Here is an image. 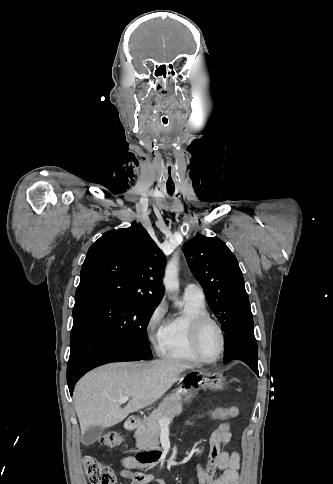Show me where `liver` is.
Returning a JSON list of instances; mask_svg holds the SVG:
<instances>
[{"mask_svg":"<svg viewBox=\"0 0 333 484\" xmlns=\"http://www.w3.org/2000/svg\"><path fill=\"white\" fill-rule=\"evenodd\" d=\"M190 365L172 360L111 363L83 376L75 386L73 398L81 434L90 427H112L129 413L154 404L191 370ZM131 399L121 408L118 400Z\"/></svg>","mask_w":333,"mask_h":484,"instance_id":"6515ba94","label":"liver"}]
</instances>
